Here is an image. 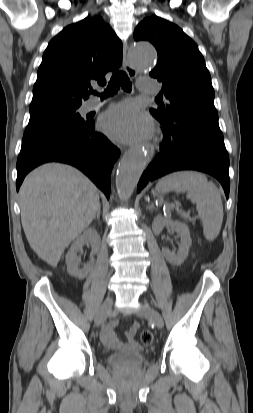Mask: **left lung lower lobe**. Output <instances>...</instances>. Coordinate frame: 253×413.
<instances>
[{"mask_svg": "<svg viewBox=\"0 0 253 413\" xmlns=\"http://www.w3.org/2000/svg\"><path fill=\"white\" fill-rule=\"evenodd\" d=\"M163 143L160 153L140 178V192L149 181L179 170H198L219 180L229 197V156L218 119L186 115L160 122Z\"/></svg>", "mask_w": 253, "mask_h": 413, "instance_id": "left-lung-lower-lobe-1", "label": "left lung lower lobe"}]
</instances>
